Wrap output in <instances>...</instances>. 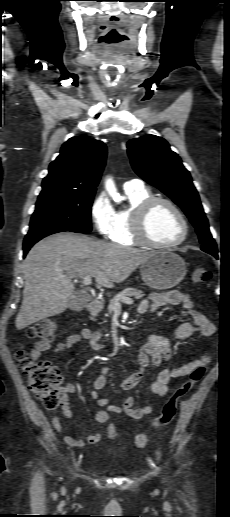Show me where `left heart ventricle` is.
Instances as JSON below:
<instances>
[{
	"instance_id": "left-heart-ventricle-1",
	"label": "left heart ventricle",
	"mask_w": 230,
	"mask_h": 517,
	"mask_svg": "<svg viewBox=\"0 0 230 517\" xmlns=\"http://www.w3.org/2000/svg\"><path fill=\"white\" fill-rule=\"evenodd\" d=\"M147 227L150 237L160 243L176 241L183 233V225L178 215L162 203L152 209Z\"/></svg>"
}]
</instances>
